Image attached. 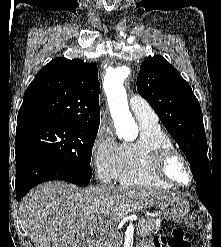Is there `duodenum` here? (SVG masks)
<instances>
[{"label": "duodenum", "instance_id": "duodenum-1", "mask_svg": "<svg viewBox=\"0 0 221 247\" xmlns=\"http://www.w3.org/2000/svg\"><path fill=\"white\" fill-rule=\"evenodd\" d=\"M86 247H97V243H96L95 240L89 239V240L86 242Z\"/></svg>", "mask_w": 221, "mask_h": 247}]
</instances>
